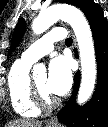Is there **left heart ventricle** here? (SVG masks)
<instances>
[{
	"instance_id": "b2bd125f",
	"label": "left heart ventricle",
	"mask_w": 108,
	"mask_h": 127,
	"mask_svg": "<svg viewBox=\"0 0 108 127\" xmlns=\"http://www.w3.org/2000/svg\"><path fill=\"white\" fill-rule=\"evenodd\" d=\"M46 80H47L46 75H41L37 77L34 81L45 94L51 97V94L46 89Z\"/></svg>"
}]
</instances>
